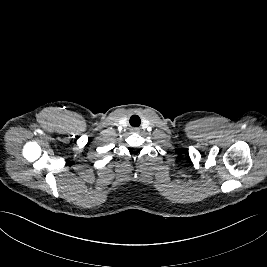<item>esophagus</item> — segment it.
<instances>
[{
  "label": "esophagus",
  "mask_w": 267,
  "mask_h": 267,
  "mask_svg": "<svg viewBox=\"0 0 267 267\" xmlns=\"http://www.w3.org/2000/svg\"><path fill=\"white\" fill-rule=\"evenodd\" d=\"M133 131H137V129H133Z\"/></svg>",
  "instance_id": "esophagus-1"
}]
</instances>
